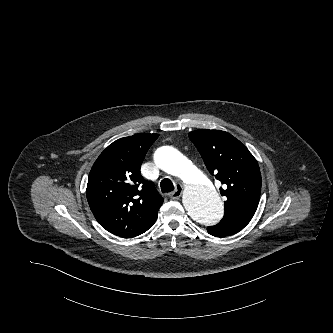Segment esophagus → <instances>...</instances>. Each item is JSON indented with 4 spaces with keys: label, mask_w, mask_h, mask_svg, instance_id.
Listing matches in <instances>:
<instances>
[{
    "label": "esophagus",
    "mask_w": 333,
    "mask_h": 333,
    "mask_svg": "<svg viewBox=\"0 0 333 333\" xmlns=\"http://www.w3.org/2000/svg\"><path fill=\"white\" fill-rule=\"evenodd\" d=\"M183 193V186L180 184L176 185V188L173 192L169 194V197L171 199H179Z\"/></svg>",
    "instance_id": "esophagus-1"
}]
</instances>
